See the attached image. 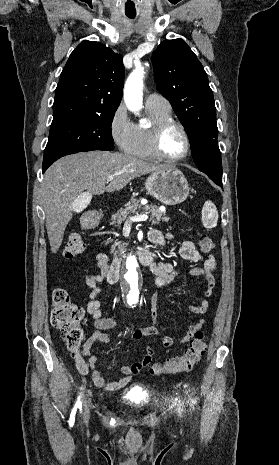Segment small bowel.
Listing matches in <instances>:
<instances>
[{"instance_id": "small-bowel-1", "label": "small bowel", "mask_w": 279, "mask_h": 465, "mask_svg": "<svg viewBox=\"0 0 279 465\" xmlns=\"http://www.w3.org/2000/svg\"><path fill=\"white\" fill-rule=\"evenodd\" d=\"M170 238L171 235L164 234L159 230H152L149 233L150 241L160 247H163ZM179 255L183 259L191 262H203L202 267L193 268L191 273L203 278L205 284V299H203L198 305H189V309L193 313L204 314L209 306L206 298L212 295L214 289V271L217 265L216 258L212 254L204 255L199 252L195 247V244L190 240H185L181 243ZM96 268L98 272L88 275L85 279L87 286L90 288L89 300L86 308L88 313L95 320L94 326L96 330L84 342L82 353L73 355V358L79 373L82 375L91 374V378L97 387L105 391H117L129 385L133 376L137 375L150 365L157 347H170L173 344V339L161 330L158 323L156 302L152 301L151 316L154 320V325L136 329L132 333V339L138 341L145 336H157L160 339L159 344L157 346H146L145 353L140 360L121 367V373L123 375L122 378L117 381L107 382L102 376L101 371L96 367L98 357L91 355V349L95 342H100L105 345L109 344L110 338L103 331L112 329L116 325L115 316L102 312L99 300L101 293L99 284L105 280H108L109 282L111 265L106 254H97ZM150 270L155 276L157 286L162 289L167 288L172 283L177 272L173 264L163 261L152 262L150 264ZM205 323V318H199L195 324L188 327L186 334L179 340V343L185 344L190 341L195 333L204 327ZM84 357H88V361H85Z\"/></svg>"}]
</instances>
